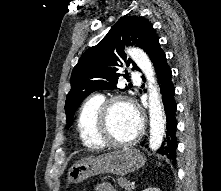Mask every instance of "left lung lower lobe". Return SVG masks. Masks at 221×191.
I'll list each match as a JSON object with an SVG mask.
<instances>
[{"mask_svg": "<svg viewBox=\"0 0 221 191\" xmlns=\"http://www.w3.org/2000/svg\"><path fill=\"white\" fill-rule=\"evenodd\" d=\"M147 54L153 62L158 76L166 115V135L157 152L175 162L178 144L176 137L177 121L175 117L177 104L174 99L175 87L171 81L172 71L167 64L165 53L160 47L158 38L153 40Z\"/></svg>", "mask_w": 221, "mask_h": 191, "instance_id": "obj_1", "label": "left lung lower lobe"}]
</instances>
